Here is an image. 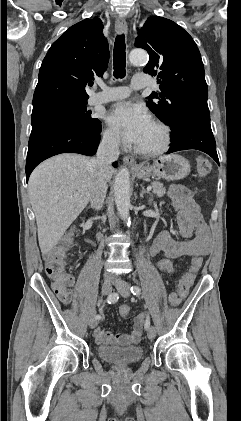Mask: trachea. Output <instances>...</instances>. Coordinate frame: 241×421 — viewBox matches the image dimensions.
<instances>
[{
  "instance_id": "trachea-1",
  "label": "trachea",
  "mask_w": 241,
  "mask_h": 421,
  "mask_svg": "<svg viewBox=\"0 0 241 421\" xmlns=\"http://www.w3.org/2000/svg\"><path fill=\"white\" fill-rule=\"evenodd\" d=\"M114 77L124 78L126 67L125 36L119 35L115 39L113 50Z\"/></svg>"
}]
</instances>
